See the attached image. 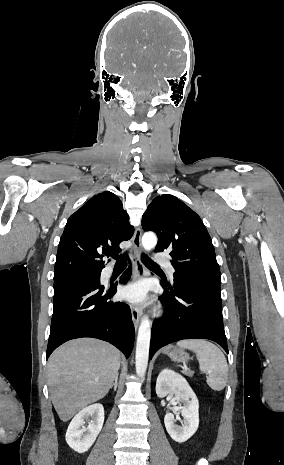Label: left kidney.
Instances as JSON below:
<instances>
[{"label":"left kidney","mask_w":284,"mask_h":465,"mask_svg":"<svg viewBox=\"0 0 284 465\" xmlns=\"http://www.w3.org/2000/svg\"><path fill=\"white\" fill-rule=\"evenodd\" d=\"M156 393L160 399L167 397V395H175V399L179 403L178 411L183 417V425L182 427L175 425L176 419L172 413L165 415L164 423L167 433L173 441L185 443L199 427V403L194 391L189 387L184 377L174 373V371L164 369L158 375Z\"/></svg>","instance_id":"left-kidney-1"}]
</instances>
